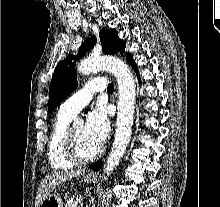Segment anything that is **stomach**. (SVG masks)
<instances>
[{
  "mask_svg": "<svg viewBox=\"0 0 220 207\" xmlns=\"http://www.w3.org/2000/svg\"><path fill=\"white\" fill-rule=\"evenodd\" d=\"M92 180L93 178L90 176H83V181L87 184ZM39 207H63V202L59 196L51 194L41 202Z\"/></svg>",
  "mask_w": 220,
  "mask_h": 207,
  "instance_id": "0dacf381",
  "label": "stomach"
}]
</instances>
